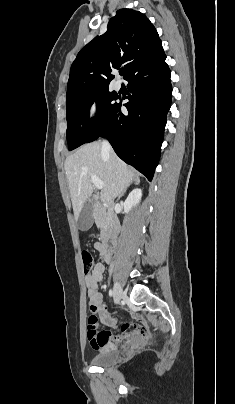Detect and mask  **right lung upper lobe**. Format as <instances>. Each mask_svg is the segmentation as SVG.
Masks as SVG:
<instances>
[{"instance_id":"cb5924a9","label":"right lung upper lobe","mask_w":235,"mask_h":404,"mask_svg":"<svg viewBox=\"0 0 235 404\" xmlns=\"http://www.w3.org/2000/svg\"><path fill=\"white\" fill-rule=\"evenodd\" d=\"M165 56L155 27L141 12L120 9L105 34L95 37L77 55L70 69L66 102L108 89L113 69L124 79Z\"/></svg>"}]
</instances>
